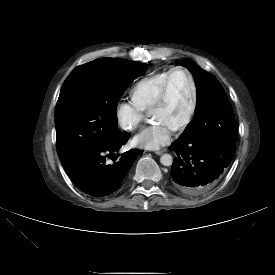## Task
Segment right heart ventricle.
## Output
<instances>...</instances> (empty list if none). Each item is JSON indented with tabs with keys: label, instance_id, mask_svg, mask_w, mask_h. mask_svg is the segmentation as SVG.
Segmentation results:
<instances>
[{
	"label": "right heart ventricle",
	"instance_id": "e07e8e85",
	"mask_svg": "<svg viewBox=\"0 0 275 275\" xmlns=\"http://www.w3.org/2000/svg\"><path fill=\"white\" fill-rule=\"evenodd\" d=\"M170 69H165L146 77L134 84L131 90V98L143 111L150 110L154 105L159 91Z\"/></svg>",
	"mask_w": 275,
	"mask_h": 275
}]
</instances>
